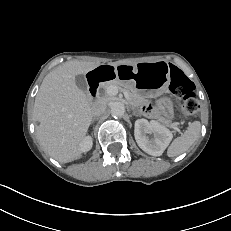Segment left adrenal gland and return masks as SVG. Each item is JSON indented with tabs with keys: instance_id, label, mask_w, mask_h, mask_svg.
Instances as JSON below:
<instances>
[{
	"instance_id": "obj_1",
	"label": "left adrenal gland",
	"mask_w": 231,
	"mask_h": 231,
	"mask_svg": "<svg viewBox=\"0 0 231 231\" xmlns=\"http://www.w3.org/2000/svg\"><path fill=\"white\" fill-rule=\"evenodd\" d=\"M132 110H133L134 115H139L138 112L134 108Z\"/></svg>"
}]
</instances>
